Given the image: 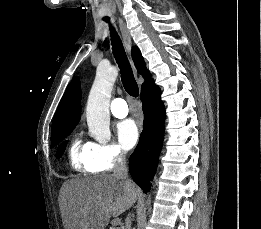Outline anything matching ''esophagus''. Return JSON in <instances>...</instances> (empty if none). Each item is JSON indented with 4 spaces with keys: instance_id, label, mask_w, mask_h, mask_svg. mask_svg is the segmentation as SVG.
Instances as JSON below:
<instances>
[{
    "instance_id": "esophagus-1",
    "label": "esophagus",
    "mask_w": 261,
    "mask_h": 229,
    "mask_svg": "<svg viewBox=\"0 0 261 229\" xmlns=\"http://www.w3.org/2000/svg\"><path fill=\"white\" fill-rule=\"evenodd\" d=\"M118 21H119V27H120V31H121L126 49H127L128 54L130 56L131 46H132V40H131L130 32L127 29L126 24L124 23V21L122 19L119 18ZM130 63H131L134 75L137 76V71H136L135 65L133 63V60L131 59V56H130Z\"/></svg>"
}]
</instances>
